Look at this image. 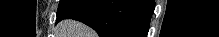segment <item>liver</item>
<instances>
[{
  "label": "liver",
  "mask_w": 219,
  "mask_h": 37,
  "mask_svg": "<svg viewBox=\"0 0 219 37\" xmlns=\"http://www.w3.org/2000/svg\"><path fill=\"white\" fill-rule=\"evenodd\" d=\"M58 37H95L96 33L81 22L67 19L57 26Z\"/></svg>",
  "instance_id": "1"
}]
</instances>
